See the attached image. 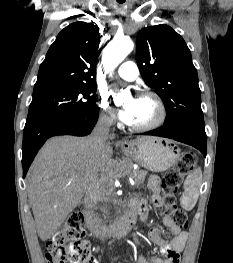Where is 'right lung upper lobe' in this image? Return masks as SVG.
I'll return each instance as SVG.
<instances>
[{
	"label": "right lung upper lobe",
	"instance_id": "1",
	"mask_svg": "<svg viewBox=\"0 0 233 263\" xmlns=\"http://www.w3.org/2000/svg\"><path fill=\"white\" fill-rule=\"evenodd\" d=\"M100 34L92 23L75 22L64 28L40 65L33 95L95 84Z\"/></svg>",
	"mask_w": 233,
	"mask_h": 263
}]
</instances>
